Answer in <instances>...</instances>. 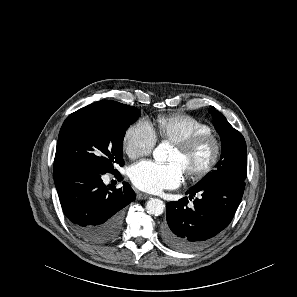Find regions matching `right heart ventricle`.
Wrapping results in <instances>:
<instances>
[{
    "mask_svg": "<svg viewBox=\"0 0 297 297\" xmlns=\"http://www.w3.org/2000/svg\"><path fill=\"white\" fill-rule=\"evenodd\" d=\"M156 137L162 141L176 143L197 134L212 131L209 124L186 114L161 115L155 120Z\"/></svg>",
    "mask_w": 297,
    "mask_h": 297,
    "instance_id": "obj_1",
    "label": "right heart ventricle"
}]
</instances>
